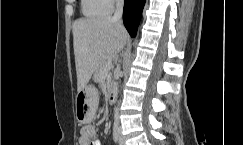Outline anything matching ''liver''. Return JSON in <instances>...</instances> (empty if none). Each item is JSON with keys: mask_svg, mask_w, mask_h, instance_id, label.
<instances>
[{"mask_svg": "<svg viewBox=\"0 0 243 145\" xmlns=\"http://www.w3.org/2000/svg\"><path fill=\"white\" fill-rule=\"evenodd\" d=\"M127 40L128 33L122 23L110 17L81 18L73 23L78 91L86 87L100 60L118 54Z\"/></svg>", "mask_w": 243, "mask_h": 145, "instance_id": "1", "label": "liver"}]
</instances>
